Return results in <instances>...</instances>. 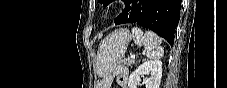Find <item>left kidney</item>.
Segmentation results:
<instances>
[{
	"mask_svg": "<svg viewBox=\"0 0 227 88\" xmlns=\"http://www.w3.org/2000/svg\"><path fill=\"white\" fill-rule=\"evenodd\" d=\"M144 75H149L142 82L145 88H159L162 77V62L160 60H151L139 65L129 77V88H137V85L141 82V76Z\"/></svg>",
	"mask_w": 227,
	"mask_h": 88,
	"instance_id": "5707ae66",
	"label": "left kidney"
}]
</instances>
